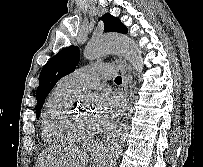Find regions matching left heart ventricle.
<instances>
[{
	"instance_id": "b2bd125f",
	"label": "left heart ventricle",
	"mask_w": 203,
	"mask_h": 167,
	"mask_svg": "<svg viewBox=\"0 0 203 167\" xmlns=\"http://www.w3.org/2000/svg\"><path fill=\"white\" fill-rule=\"evenodd\" d=\"M78 128L82 131L97 130L95 115L89 109H80L75 111Z\"/></svg>"
}]
</instances>
